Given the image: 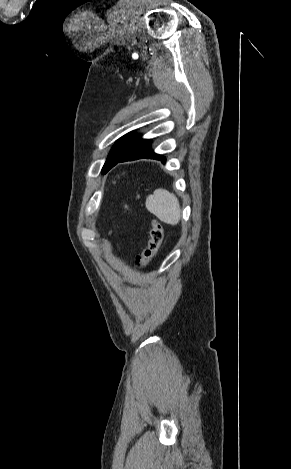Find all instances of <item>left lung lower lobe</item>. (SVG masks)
I'll use <instances>...</instances> for the list:
<instances>
[{
  "label": "left lung lower lobe",
  "instance_id": "left-lung-lower-lobe-1",
  "mask_svg": "<svg viewBox=\"0 0 291 469\" xmlns=\"http://www.w3.org/2000/svg\"><path fill=\"white\" fill-rule=\"evenodd\" d=\"M141 158H151L162 161L166 160L164 156L156 154L152 149H150V140L143 139L135 146H133L129 151H127L123 156L118 158L115 162V165L119 162L132 161Z\"/></svg>",
  "mask_w": 291,
  "mask_h": 469
}]
</instances>
